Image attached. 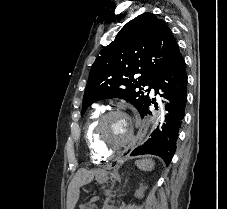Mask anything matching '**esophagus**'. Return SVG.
I'll use <instances>...</instances> for the list:
<instances>
[{
    "mask_svg": "<svg viewBox=\"0 0 227 209\" xmlns=\"http://www.w3.org/2000/svg\"><path fill=\"white\" fill-rule=\"evenodd\" d=\"M148 121H151V113L147 112L146 116L143 117V120H139V123L136 124V127L139 128L140 137L136 138V140L133 142V144H130V149H125V151H118L116 155L115 162H111L108 164V166L104 167L103 173H106V171H110L111 169H117V167H120L121 164L126 161V158L132 154V149H137L138 146H141L143 142H146V138H149V124Z\"/></svg>",
    "mask_w": 227,
    "mask_h": 209,
    "instance_id": "esophagus-1",
    "label": "esophagus"
}]
</instances>
